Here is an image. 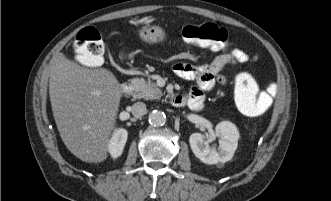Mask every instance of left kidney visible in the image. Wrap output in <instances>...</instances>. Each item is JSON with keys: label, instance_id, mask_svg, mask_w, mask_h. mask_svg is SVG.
<instances>
[{"label": "left kidney", "instance_id": "1", "mask_svg": "<svg viewBox=\"0 0 331 201\" xmlns=\"http://www.w3.org/2000/svg\"><path fill=\"white\" fill-rule=\"evenodd\" d=\"M219 138L218 149L209 146V143ZM239 132L236 126L229 121H222L215 127V131L203 135L193 133L189 143L194 155L205 164L225 163L229 161L238 146Z\"/></svg>", "mask_w": 331, "mask_h": 201}]
</instances>
